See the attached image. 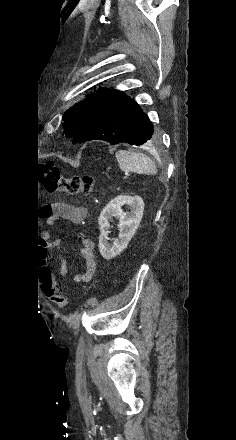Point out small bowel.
<instances>
[{
  "instance_id": "small-bowel-1",
  "label": "small bowel",
  "mask_w": 236,
  "mask_h": 440,
  "mask_svg": "<svg viewBox=\"0 0 236 440\" xmlns=\"http://www.w3.org/2000/svg\"><path fill=\"white\" fill-rule=\"evenodd\" d=\"M41 215L47 219L49 224H55L59 220H67L71 223H81L87 215V208L84 206H76L64 202H57L48 208L41 210ZM82 243L81 255L85 260V270L82 273H76L73 275V281L75 283H83L92 279L97 271V258L94 253L93 243L79 236ZM54 245H58L57 241H54ZM59 273L62 277H66L68 274L67 262L63 259L59 268Z\"/></svg>"
}]
</instances>
